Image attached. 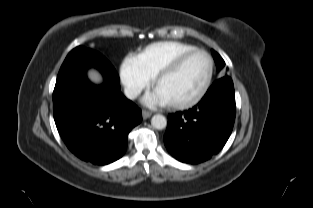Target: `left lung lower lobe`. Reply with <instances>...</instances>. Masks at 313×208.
I'll list each match as a JSON object with an SVG mask.
<instances>
[{
    "label": "left lung lower lobe",
    "instance_id": "1",
    "mask_svg": "<svg viewBox=\"0 0 313 208\" xmlns=\"http://www.w3.org/2000/svg\"><path fill=\"white\" fill-rule=\"evenodd\" d=\"M235 115L233 82L225 76L216 80L192 109L168 116L165 146L181 162L206 161L227 142Z\"/></svg>",
    "mask_w": 313,
    "mask_h": 208
}]
</instances>
